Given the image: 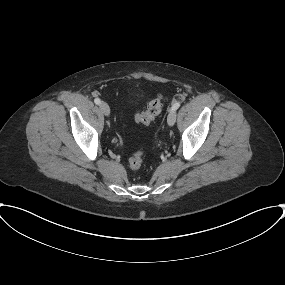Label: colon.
<instances>
[{
    "label": "colon",
    "mask_w": 285,
    "mask_h": 285,
    "mask_svg": "<svg viewBox=\"0 0 285 285\" xmlns=\"http://www.w3.org/2000/svg\"><path fill=\"white\" fill-rule=\"evenodd\" d=\"M163 103L164 97L162 95H158L148 103L147 109L144 112L135 115V121L145 125L150 124L161 112ZM142 162L143 153L141 151H137L129 158L128 165L131 170L137 171L140 169Z\"/></svg>",
    "instance_id": "5ec220e1"
}]
</instances>
